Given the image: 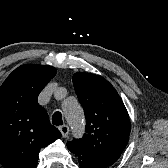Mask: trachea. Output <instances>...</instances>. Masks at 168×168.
Returning <instances> with one entry per match:
<instances>
[{
	"mask_svg": "<svg viewBox=\"0 0 168 168\" xmlns=\"http://www.w3.org/2000/svg\"><path fill=\"white\" fill-rule=\"evenodd\" d=\"M52 123L56 126H59V125L63 124L61 112L57 111L53 114Z\"/></svg>",
	"mask_w": 168,
	"mask_h": 168,
	"instance_id": "3493384b",
	"label": "trachea"
}]
</instances>
